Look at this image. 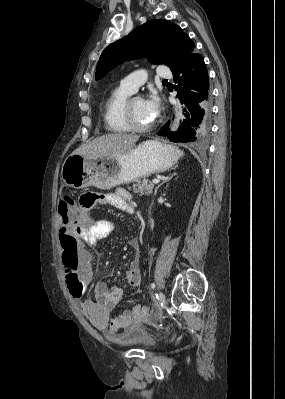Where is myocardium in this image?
I'll use <instances>...</instances> for the list:
<instances>
[{"instance_id": "myocardium-1", "label": "myocardium", "mask_w": 285, "mask_h": 399, "mask_svg": "<svg viewBox=\"0 0 285 399\" xmlns=\"http://www.w3.org/2000/svg\"><path fill=\"white\" fill-rule=\"evenodd\" d=\"M134 99H141V98L133 97V98L127 99V101L125 102V105H124L125 122L131 131L145 132L153 127L154 122H151L150 124L144 125V126L136 124L134 117H133L132 108H131V105H132V102Z\"/></svg>"}]
</instances>
